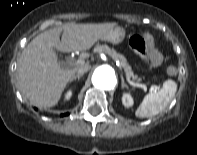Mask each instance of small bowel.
<instances>
[{
	"label": "small bowel",
	"mask_w": 197,
	"mask_h": 155,
	"mask_svg": "<svg viewBox=\"0 0 197 155\" xmlns=\"http://www.w3.org/2000/svg\"><path fill=\"white\" fill-rule=\"evenodd\" d=\"M146 37H147V40L151 41V37L149 35H147ZM144 55H146V58L150 59L149 55H147V54H144Z\"/></svg>",
	"instance_id": "c3829d8e"
}]
</instances>
